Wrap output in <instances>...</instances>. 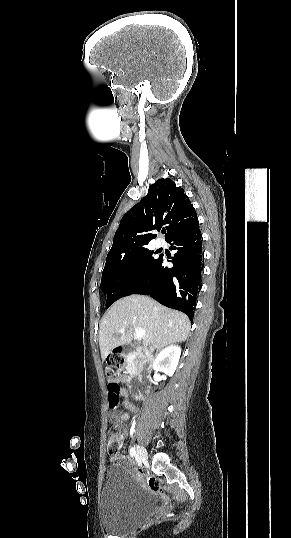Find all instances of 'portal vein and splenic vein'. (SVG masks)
Listing matches in <instances>:
<instances>
[{
	"instance_id": "portal-vein-and-splenic-vein-1",
	"label": "portal vein and splenic vein",
	"mask_w": 291,
	"mask_h": 538,
	"mask_svg": "<svg viewBox=\"0 0 291 538\" xmlns=\"http://www.w3.org/2000/svg\"><path fill=\"white\" fill-rule=\"evenodd\" d=\"M134 330H135V335L138 339H142L143 336L145 335V332L142 328H136L134 327ZM125 331V328H121L120 329V332L123 333Z\"/></svg>"
}]
</instances>
